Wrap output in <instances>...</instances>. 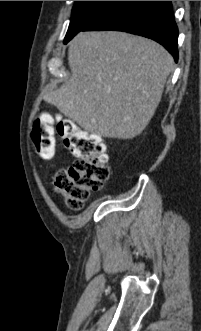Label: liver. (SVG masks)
<instances>
[{
  "label": "liver",
  "instance_id": "liver-1",
  "mask_svg": "<svg viewBox=\"0 0 201 331\" xmlns=\"http://www.w3.org/2000/svg\"><path fill=\"white\" fill-rule=\"evenodd\" d=\"M71 76L45 101L91 134L131 139L161 100L173 57L157 42L125 32H80L69 43Z\"/></svg>",
  "mask_w": 201,
  "mask_h": 331
}]
</instances>
